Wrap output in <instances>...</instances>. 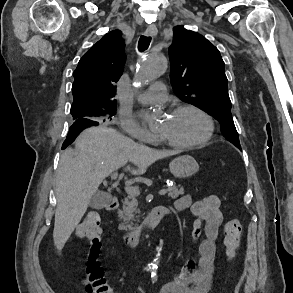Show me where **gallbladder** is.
Here are the masks:
<instances>
[{"instance_id": "bac80fb5", "label": "gallbladder", "mask_w": 293, "mask_h": 293, "mask_svg": "<svg viewBox=\"0 0 293 293\" xmlns=\"http://www.w3.org/2000/svg\"><path fill=\"white\" fill-rule=\"evenodd\" d=\"M110 199L111 196L109 194L99 191L91 197L89 206L92 209H102L109 203Z\"/></svg>"}]
</instances>
